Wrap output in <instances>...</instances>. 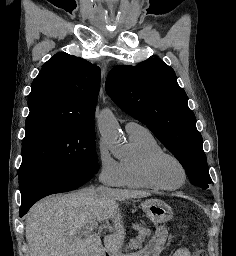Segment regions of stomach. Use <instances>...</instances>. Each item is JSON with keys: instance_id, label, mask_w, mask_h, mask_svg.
<instances>
[{"instance_id": "obj_1", "label": "stomach", "mask_w": 236, "mask_h": 256, "mask_svg": "<svg viewBox=\"0 0 236 256\" xmlns=\"http://www.w3.org/2000/svg\"><path fill=\"white\" fill-rule=\"evenodd\" d=\"M142 208L146 216L156 226V232L145 247L137 253L132 254V256H159L168 234L165 226L160 224L169 221L173 217V212L164 201L158 199L144 201Z\"/></svg>"}]
</instances>
